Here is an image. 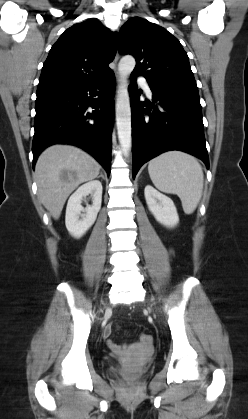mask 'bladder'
I'll return each mask as SVG.
<instances>
[{
    "instance_id": "31cf9c89",
    "label": "bladder",
    "mask_w": 248,
    "mask_h": 419,
    "mask_svg": "<svg viewBox=\"0 0 248 419\" xmlns=\"http://www.w3.org/2000/svg\"><path fill=\"white\" fill-rule=\"evenodd\" d=\"M109 371L115 377H122L123 376V372H122L121 368H119V367H112V368H110ZM142 376H143V373L130 375L129 379L130 380H137V379L141 378Z\"/></svg>"
}]
</instances>
